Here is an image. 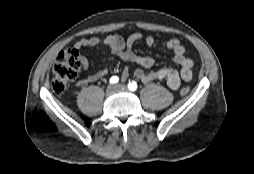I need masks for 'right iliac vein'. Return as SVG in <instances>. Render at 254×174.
Listing matches in <instances>:
<instances>
[{
  "instance_id": "63e3f726",
  "label": "right iliac vein",
  "mask_w": 254,
  "mask_h": 174,
  "mask_svg": "<svg viewBox=\"0 0 254 174\" xmlns=\"http://www.w3.org/2000/svg\"><path fill=\"white\" fill-rule=\"evenodd\" d=\"M116 90V86L115 85H109L106 89V93L107 94H112L114 91Z\"/></svg>"
}]
</instances>
